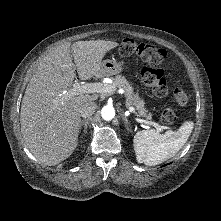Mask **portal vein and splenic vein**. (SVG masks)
I'll list each match as a JSON object with an SVG mask.
<instances>
[{
    "label": "portal vein and splenic vein",
    "mask_w": 221,
    "mask_h": 221,
    "mask_svg": "<svg viewBox=\"0 0 221 221\" xmlns=\"http://www.w3.org/2000/svg\"><path fill=\"white\" fill-rule=\"evenodd\" d=\"M113 91H114V89L112 87L107 86V85H103L101 83H89V84L82 85L79 82H75L73 84V88L68 91H64L63 95H67L68 97H72L74 95L83 94V93H111ZM133 111H134V108L130 107L129 112H133ZM135 120L140 123L152 125L153 127H155L159 131L164 129L163 126H160L158 123H155L152 121H146V120L139 119V118H135Z\"/></svg>",
    "instance_id": "18ae733b"
}]
</instances>
